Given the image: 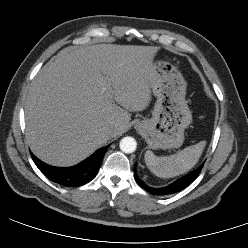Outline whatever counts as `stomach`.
Wrapping results in <instances>:
<instances>
[{"label":"stomach","mask_w":248,"mask_h":248,"mask_svg":"<svg viewBox=\"0 0 248 248\" xmlns=\"http://www.w3.org/2000/svg\"><path fill=\"white\" fill-rule=\"evenodd\" d=\"M151 89L157 98L152 117L137 121L135 128L149 140L152 149L178 148L184 141V130L192 122L185 100L187 83L176 66L156 61Z\"/></svg>","instance_id":"0dacf381"}]
</instances>
